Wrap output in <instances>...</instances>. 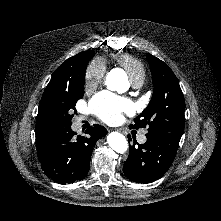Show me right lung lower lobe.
Wrapping results in <instances>:
<instances>
[{
  "instance_id": "right-lung-lower-lobe-1",
  "label": "right lung lower lobe",
  "mask_w": 221,
  "mask_h": 221,
  "mask_svg": "<svg viewBox=\"0 0 221 221\" xmlns=\"http://www.w3.org/2000/svg\"><path fill=\"white\" fill-rule=\"evenodd\" d=\"M71 126L53 133L40 163L45 174L59 184L84 178L90 168L95 143L107 134L101 125L86 130L87 136H75Z\"/></svg>"
}]
</instances>
